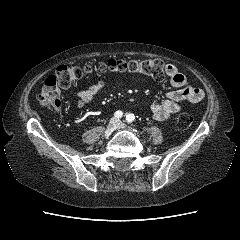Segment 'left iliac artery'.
Segmentation results:
<instances>
[{
	"label": "left iliac artery",
	"instance_id": "1",
	"mask_svg": "<svg viewBox=\"0 0 240 240\" xmlns=\"http://www.w3.org/2000/svg\"><path fill=\"white\" fill-rule=\"evenodd\" d=\"M134 119H135L134 114L129 113V114L126 115V121H127L128 123H132V122L134 121Z\"/></svg>",
	"mask_w": 240,
	"mask_h": 240
}]
</instances>
